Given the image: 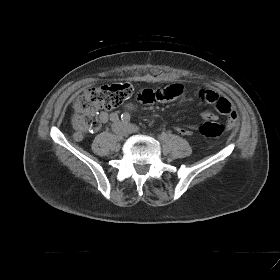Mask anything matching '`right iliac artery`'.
Here are the masks:
<instances>
[{
	"label": "right iliac artery",
	"mask_w": 280,
	"mask_h": 280,
	"mask_svg": "<svg viewBox=\"0 0 280 280\" xmlns=\"http://www.w3.org/2000/svg\"><path fill=\"white\" fill-rule=\"evenodd\" d=\"M110 120L113 121V122L118 121V120H119L118 114H117V113H112V114L110 115Z\"/></svg>",
	"instance_id": "82829eb1"
}]
</instances>
